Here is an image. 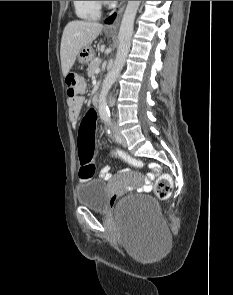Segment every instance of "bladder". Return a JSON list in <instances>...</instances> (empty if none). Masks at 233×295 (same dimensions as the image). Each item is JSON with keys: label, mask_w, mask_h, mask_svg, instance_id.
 <instances>
[{"label": "bladder", "mask_w": 233, "mask_h": 295, "mask_svg": "<svg viewBox=\"0 0 233 295\" xmlns=\"http://www.w3.org/2000/svg\"><path fill=\"white\" fill-rule=\"evenodd\" d=\"M77 202L92 211L107 212L109 210V189L100 179H90L76 187ZM125 214L137 213L147 220L159 217L157 201L149 195H134L125 198L120 205Z\"/></svg>", "instance_id": "bladder-1"}]
</instances>
